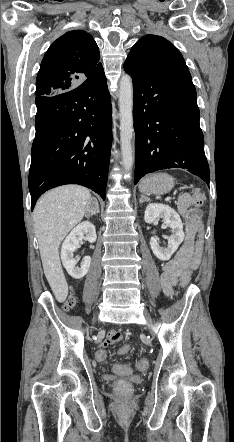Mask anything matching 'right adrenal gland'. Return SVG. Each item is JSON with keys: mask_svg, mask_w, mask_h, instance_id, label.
<instances>
[{"mask_svg": "<svg viewBox=\"0 0 234 442\" xmlns=\"http://www.w3.org/2000/svg\"><path fill=\"white\" fill-rule=\"evenodd\" d=\"M94 203V205H95V209H96V211L94 212V213H91V211H90V207H89V204L90 203ZM90 203L87 205V207H86V214H85V216L87 217L88 215L89 216H92L93 214H96V213H99L100 212V210H99V205H98V202H97V200H96V198H91V200H90ZM88 214V215H87Z\"/></svg>", "mask_w": 234, "mask_h": 442, "instance_id": "2a0ac1e0", "label": "right adrenal gland"}]
</instances>
